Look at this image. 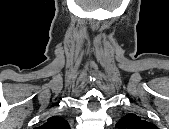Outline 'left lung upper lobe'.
Masks as SVG:
<instances>
[{
	"mask_svg": "<svg viewBox=\"0 0 169 129\" xmlns=\"http://www.w3.org/2000/svg\"><path fill=\"white\" fill-rule=\"evenodd\" d=\"M119 129H156V126L150 122L142 120L135 114L123 116L116 124Z\"/></svg>",
	"mask_w": 169,
	"mask_h": 129,
	"instance_id": "1",
	"label": "left lung upper lobe"
}]
</instances>
